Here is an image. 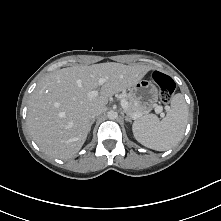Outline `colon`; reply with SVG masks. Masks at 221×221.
<instances>
[{"mask_svg": "<svg viewBox=\"0 0 221 221\" xmlns=\"http://www.w3.org/2000/svg\"><path fill=\"white\" fill-rule=\"evenodd\" d=\"M152 78L160 88L161 102L164 104H168L175 91V83L173 79L160 71H154L152 74Z\"/></svg>", "mask_w": 221, "mask_h": 221, "instance_id": "colon-1", "label": "colon"}]
</instances>
